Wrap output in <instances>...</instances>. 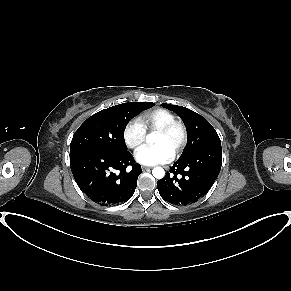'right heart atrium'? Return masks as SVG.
Returning a JSON list of instances; mask_svg holds the SVG:
<instances>
[{
    "label": "right heart atrium",
    "instance_id": "obj_1",
    "mask_svg": "<svg viewBox=\"0 0 291 291\" xmlns=\"http://www.w3.org/2000/svg\"><path fill=\"white\" fill-rule=\"evenodd\" d=\"M122 137L128 148L135 149L145 141L146 130L137 119H133L125 125L122 132Z\"/></svg>",
    "mask_w": 291,
    "mask_h": 291
}]
</instances>
